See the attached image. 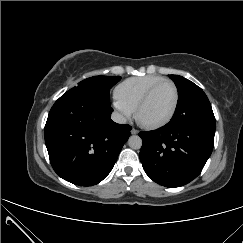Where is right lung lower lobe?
<instances>
[{
	"mask_svg": "<svg viewBox=\"0 0 243 243\" xmlns=\"http://www.w3.org/2000/svg\"><path fill=\"white\" fill-rule=\"evenodd\" d=\"M110 102L88 92H66L51 108L45 144L54 171L80 186L101 182L130 136L128 124L111 120Z\"/></svg>",
	"mask_w": 243,
	"mask_h": 243,
	"instance_id": "1",
	"label": "right lung lower lobe"
}]
</instances>
